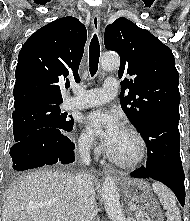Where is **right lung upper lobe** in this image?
Wrapping results in <instances>:
<instances>
[{"instance_id":"cb5924a9","label":"right lung upper lobe","mask_w":190,"mask_h":221,"mask_svg":"<svg viewBox=\"0 0 190 221\" xmlns=\"http://www.w3.org/2000/svg\"><path fill=\"white\" fill-rule=\"evenodd\" d=\"M87 39L85 26L76 18H59L36 31L22 46L13 94L15 111L42 104L62 103L60 86L78 68Z\"/></svg>"}]
</instances>
